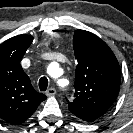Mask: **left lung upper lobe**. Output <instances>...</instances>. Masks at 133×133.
<instances>
[{
  "label": "left lung upper lobe",
  "mask_w": 133,
  "mask_h": 133,
  "mask_svg": "<svg viewBox=\"0 0 133 133\" xmlns=\"http://www.w3.org/2000/svg\"><path fill=\"white\" fill-rule=\"evenodd\" d=\"M76 93L69 110L78 118L93 122L103 116L118 96L121 73L109 46L98 36L76 30L73 36Z\"/></svg>",
  "instance_id": "1"
}]
</instances>
